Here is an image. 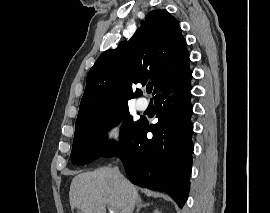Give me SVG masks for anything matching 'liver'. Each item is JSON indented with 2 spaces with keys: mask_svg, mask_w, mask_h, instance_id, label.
Listing matches in <instances>:
<instances>
[{
  "mask_svg": "<svg viewBox=\"0 0 270 213\" xmlns=\"http://www.w3.org/2000/svg\"><path fill=\"white\" fill-rule=\"evenodd\" d=\"M69 200L73 213H106L105 206L116 213H132L141 198L126 178H117L111 168L102 167L76 175L70 185Z\"/></svg>",
  "mask_w": 270,
  "mask_h": 213,
  "instance_id": "1",
  "label": "liver"
}]
</instances>
